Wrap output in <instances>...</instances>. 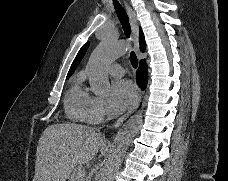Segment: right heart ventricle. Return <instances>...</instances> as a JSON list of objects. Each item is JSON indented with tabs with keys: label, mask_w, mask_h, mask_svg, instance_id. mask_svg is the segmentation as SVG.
Here are the masks:
<instances>
[{
	"label": "right heart ventricle",
	"mask_w": 228,
	"mask_h": 181,
	"mask_svg": "<svg viewBox=\"0 0 228 181\" xmlns=\"http://www.w3.org/2000/svg\"><path fill=\"white\" fill-rule=\"evenodd\" d=\"M87 68L74 74L73 84L66 97L67 112L74 119L86 120L90 96L84 84L87 80L92 83V75L87 73Z\"/></svg>",
	"instance_id": "obj_1"
}]
</instances>
